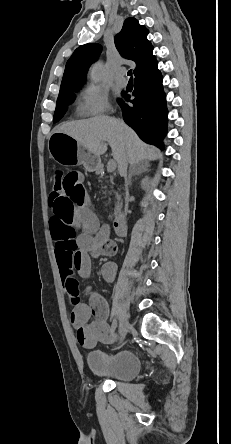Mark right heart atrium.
Here are the masks:
<instances>
[{
	"label": "right heart atrium",
	"mask_w": 231,
	"mask_h": 444,
	"mask_svg": "<svg viewBox=\"0 0 231 444\" xmlns=\"http://www.w3.org/2000/svg\"><path fill=\"white\" fill-rule=\"evenodd\" d=\"M111 110L108 94L98 86L85 87L79 97L78 112L83 116L102 115Z\"/></svg>",
	"instance_id": "d8ad5b80"
}]
</instances>
